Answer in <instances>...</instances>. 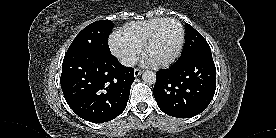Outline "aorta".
<instances>
[{
    "mask_svg": "<svg viewBox=\"0 0 276 138\" xmlns=\"http://www.w3.org/2000/svg\"><path fill=\"white\" fill-rule=\"evenodd\" d=\"M144 83L148 85L155 84L156 82V73L153 71H145L142 75Z\"/></svg>",
    "mask_w": 276,
    "mask_h": 138,
    "instance_id": "762f6f07",
    "label": "aorta"
}]
</instances>
